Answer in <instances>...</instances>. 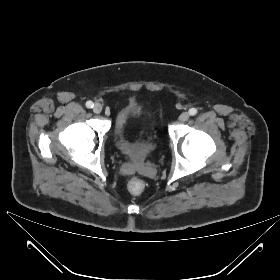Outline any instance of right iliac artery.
Instances as JSON below:
<instances>
[{
	"mask_svg": "<svg viewBox=\"0 0 280 280\" xmlns=\"http://www.w3.org/2000/svg\"><path fill=\"white\" fill-rule=\"evenodd\" d=\"M93 106H94V103L92 101H87L86 102V107L87 108H93Z\"/></svg>",
	"mask_w": 280,
	"mask_h": 280,
	"instance_id": "1",
	"label": "right iliac artery"
}]
</instances>
